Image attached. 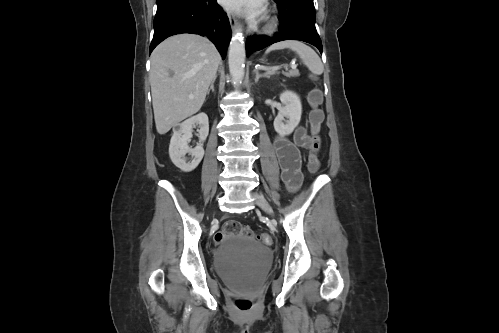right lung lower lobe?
<instances>
[{
    "instance_id": "98d812e1",
    "label": "right lung lower lobe",
    "mask_w": 499,
    "mask_h": 333,
    "mask_svg": "<svg viewBox=\"0 0 499 333\" xmlns=\"http://www.w3.org/2000/svg\"><path fill=\"white\" fill-rule=\"evenodd\" d=\"M154 36L149 53L164 39L181 33H193L211 40L222 58L231 37L227 15L216 0H157Z\"/></svg>"
}]
</instances>
